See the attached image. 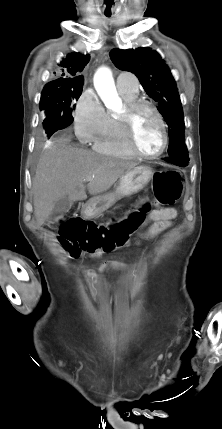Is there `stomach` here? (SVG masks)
Here are the masks:
<instances>
[{
    "label": "stomach",
    "instance_id": "stomach-1",
    "mask_svg": "<svg viewBox=\"0 0 222 429\" xmlns=\"http://www.w3.org/2000/svg\"><path fill=\"white\" fill-rule=\"evenodd\" d=\"M153 172L148 166H138L128 171L120 179L113 192L90 199L84 209V216L93 218L99 216L122 197L138 193L151 181Z\"/></svg>",
    "mask_w": 222,
    "mask_h": 429
}]
</instances>
